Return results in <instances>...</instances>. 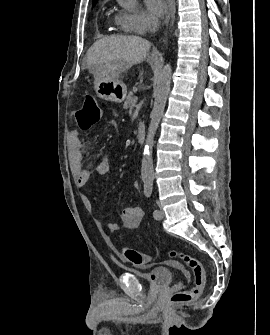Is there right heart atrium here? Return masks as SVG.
Masks as SVG:
<instances>
[{"mask_svg": "<svg viewBox=\"0 0 270 335\" xmlns=\"http://www.w3.org/2000/svg\"><path fill=\"white\" fill-rule=\"evenodd\" d=\"M119 15L127 30L140 35L151 32L149 27L154 25L150 16L142 9L123 11Z\"/></svg>", "mask_w": 270, "mask_h": 335, "instance_id": "obj_1", "label": "right heart atrium"}]
</instances>
